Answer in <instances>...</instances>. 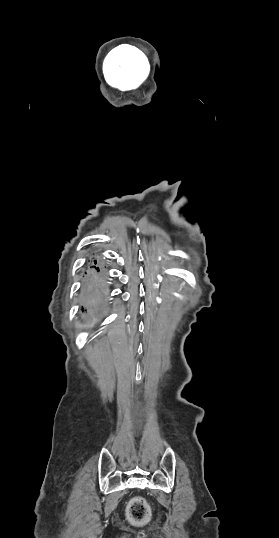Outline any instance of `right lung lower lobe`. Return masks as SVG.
I'll return each mask as SVG.
<instances>
[{
	"mask_svg": "<svg viewBox=\"0 0 279 538\" xmlns=\"http://www.w3.org/2000/svg\"><path fill=\"white\" fill-rule=\"evenodd\" d=\"M104 267L103 258L88 260L81 284V308L85 320L96 322L109 307L110 280Z\"/></svg>",
	"mask_w": 279,
	"mask_h": 538,
	"instance_id": "obj_1",
	"label": "right lung lower lobe"
}]
</instances>
